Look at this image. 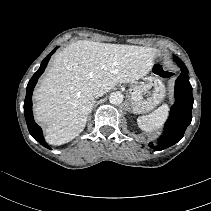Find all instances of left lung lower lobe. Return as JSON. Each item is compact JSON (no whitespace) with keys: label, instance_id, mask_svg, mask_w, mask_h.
Returning a JSON list of instances; mask_svg holds the SVG:
<instances>
[{"label":"left lung lower lobe","instance_id":"0a47b994","mask_svg":"<svg viewBox=\"0 0 211 211\" xmlns=\"http://www.w3.org/2000/svg\"><path fill=\"white\" fill-rule=\"evenodd\" d=\"M177 64L182 72L175 82V103L171 107L169 119L158 142L149 143V146L155 151L164 150L179 142L192 120L191 111L194 100L188 69L183 62Z\"/></svg>","mask_w":211,"mask_h":211}]
</instances>
